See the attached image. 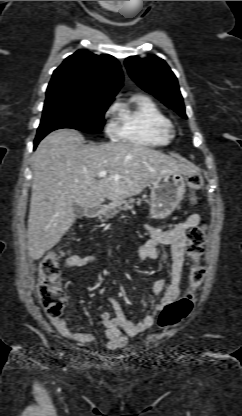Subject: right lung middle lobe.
<instances>
[{"instance_id": "1", "label": "right lung middle lobe", "mask_w": 242, "mask_h": 416, "mask_svg": "<svg viewBox=\"0 0 242 416\" xmlns=\"http://www.w3.org/2000/svg\"><path fill=\"white\" fill-rule=\"evenodd\" d=\"M112 100L77 99L63 96L46 98L36 138L60 128L98 133L104 126V113Z\"/></svg>"}]
</instances>
